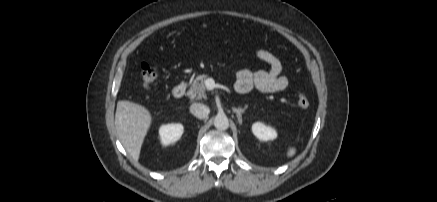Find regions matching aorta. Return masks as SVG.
Segmentation results:
<instances>
[{
    "instance_id": "1",
    "label": "aorta",
    "mask_w": 437,
    "mask_h": 202,
    "mask_svg": "<svg viewBox=\"0 0 437 202\" xmlns=\"http://www.w3.org/2000/svg\"><path fill=\"white\" fill-rule=\"evenodd\" d=\"M214 126L219 130H226L229 127V120L225 114H218L214 118Z\"/></svg>"
}]
</instances>
